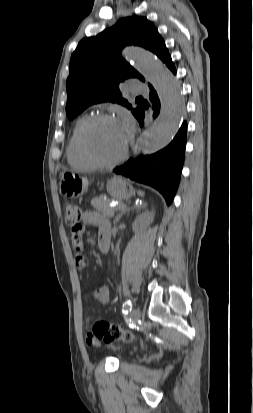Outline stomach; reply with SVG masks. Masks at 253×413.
Listing matches in <instances>:
<instances>
[{"label": "stomach", "mask_w": 253, "mask_h": 413, "mask_svg": "<svg viewBox=\"0 0 253 413\" xmlns=\"http://www.w3.org/2000/svg\"><path fill=\"white\" fill-rule=\"evenodd\" d=\"M88 189L87 178L70 172H63L60 179V193L65 197H80ZM109 195L116 200H126L134 195L132 186L122 177H113L107 182Z\"/></svg>", "instance_id": "obj_1"}]
</instances>
